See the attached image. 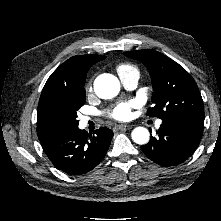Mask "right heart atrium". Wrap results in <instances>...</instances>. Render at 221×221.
<instances>
[{
    "instance_id": "right-heart-atrium-1",
    "label": "right heart atrium",
    "mask_w": 221,
    "mask_h": 221,
    "mask_svg": "<svg viewBox=\"0 0 221 221\" xmlns=\"http://www.w3.org/2000/svg\"><path fill=\"white\" fill-rule=\"evenodd\" d=\"M88 89H89V90L91 89V86H90V85L88 86Z\"/></svg>"
}]
</instances>
